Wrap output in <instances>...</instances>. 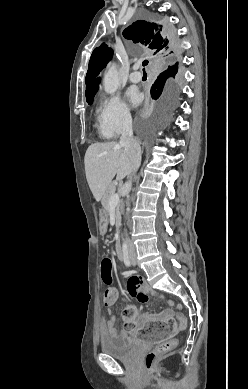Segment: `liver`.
I'll list each match as a JSON object with an SVG mask.
<instances>
[{
	"mask_svg": "<svg viewBox=\"0 0 248 389\" xmlns=\"http://www.w3.org/2000/svg\"><path fill=\"white\" fill-rule=\"evenodd\" d=\"M85 172L90 190L100 201L116 176L118 181L131 173V160L125 148L117 142L94 143L84 158Z\"/></svg>",
	"mask_w": 248,
	"mask_h": 389,
	"instance_id": "1",
	"label": "liver"
}]
</instances>
